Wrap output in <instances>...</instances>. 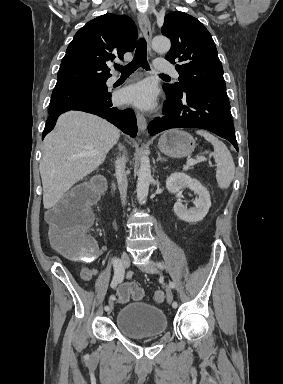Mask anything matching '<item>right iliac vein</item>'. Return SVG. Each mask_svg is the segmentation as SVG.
I'll return each instance as SVG.
<instances>
[{"label": "right iliac vein", "mask_w": 283, "mask_h": 384, "mask_svg": "<svg viewBox=\"0 0 283 384\" xmlns=\"http://www.w3.org/2000/svg\"><path fill=\"white\" fill-rule=\"evenodd\" d=\"M129 262H130L129 255H128L126 252L122 253V255H121V259H120V263L122 264V266H123L124 268L128 267ZM112 308H113V305H111V306L109 307V309L107 310V313H108V314L111 313Z\"/></svg>", "instance_id": "right-iliac-vein-1"}]
</instances>
